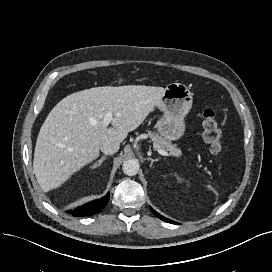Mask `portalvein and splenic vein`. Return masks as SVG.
Here are the masks:
<instances>
[{"instance_id": "portal-vein-and-splenic-vein-1", "label": "portal vein and splenic vein", "mask_w": 272, "mask_h": 272, "mask_svg": "<svg viewBox=\"0 0 272 272\" xmlns=\"http://www.w3.org/2000/svg\"><path fill=\"white\" fill-rule=\"evenodd\" d=\"M113 120V115L111 112H107L103 118V125L104 126H108L111 121ZM159 154L163 155V156H169L170 154L168 152H166L165 150L163 149H158L157 150Z\"/></svg>"}]
</instances>
